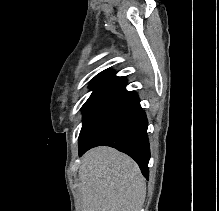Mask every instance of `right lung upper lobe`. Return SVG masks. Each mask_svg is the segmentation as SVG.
I'll use <instances>...</instances> for the list:
<instances>
[{
    "mask_svg": "<svg viewBox=\"0 0 219 211\" xmlns=\"http://www.w3.org/2000/svg\"><path fill=\"white\" fill-rule=\"evenodd\" d=\"M124 80L125 77H116L112 71L105 70L92 79L90 89H93V92H110Z\"/></svg>",
    "mask_w": 219,
    "mask_h": 211,
    "instance_id": "cb5924a9",
    "label": "right lung upper lobe"
}]
</instances>
